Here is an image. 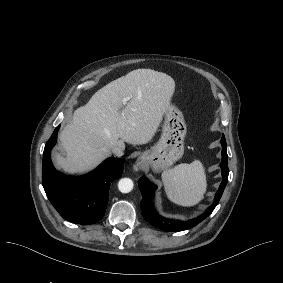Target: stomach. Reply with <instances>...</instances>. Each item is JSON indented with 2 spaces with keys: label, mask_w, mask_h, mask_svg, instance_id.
<instances>
[{
  "label": "stomach",
  "mask_w": 283,
  "mask_h": 283,
  "mask_svg": "<svg viewBox=\"0 0 283 283\" xmlns=\"http://www.w3.org/2000/svg\"><path fill=\"white\" fill-rule=\"evenodd\" d=\"M163 111L160 137L141 154L138 162L144 167L150 166L154 173L166 171L182 159L188 131L183 111L175 103L168 101Z\"/></svg>",
  "instance_id": "obj_1"
}]
</instances>
